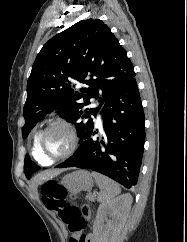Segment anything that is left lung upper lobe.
Returning <instances> with one entry per match:
<instances>
[{
	"label": "left lung upper lobe",
	"mask_w": 187,
	"mask_h": 242,
	"mask_svg": "<svg viewBox=\"0 0 187 242\" xmlns=\"http://www.w3.org/2000/svg\"><path fill=\"white\" fill-rule=\"evenodd\" d=\"M135 76L134 67L118 39L99 19L82 20L51 38L38 53L27 82L24 105L26 138L47 113L57 110L74 123L81 143L93 126L90 116ZM86 88L77 89L76 84ZM101 94L97 109L90 99ZM40 167L26 155L27 178Z\"/></svg>",
	"instance_id": "left-lung-upper-lobe-1"
}]
</instances>
